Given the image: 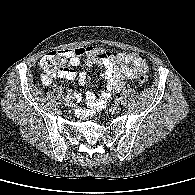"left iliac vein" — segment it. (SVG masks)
<instances>
[{
  "instance_id": "1",
  "label": "left iliac vein",
  "mask_w": 195,
  "mask_h": 195,
  "mask_svg": "<svg viewBox=\"0 0 195 195\" xmlns=\"http://www.w3.org/2000/svg\"><path fill=\"white\" fill-rule=\"evenodd\" d=\"M121 110V105L119 103H115L111 106V111L117 113Z\"/></svg>"
}]
</instances>
